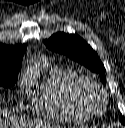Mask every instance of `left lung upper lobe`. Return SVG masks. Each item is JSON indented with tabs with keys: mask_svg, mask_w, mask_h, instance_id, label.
Returning a JSON list of instances; mask_svg holds the SVG:
<instances>
[{
	"mask_svg": "<svg viewBox=\"0 0 125 128\" xmlns=\"http://www.w3.org/2000/svg\"><path fill=\"white\" fill-rule=\"evenodd\" d=\"M47 48L67 55L71 59L86 66L91 71L99 73L104 78L105 68L97 53L81 37L75 34L56 33L44 40ZM120 122L125 125V118L121 115Z\"/></svg>",
	"mask_w": 125,
	"mask_h": 128,
	"instance_id": "1",
	"label": "left lung upper lobe"
}]
</instances>
